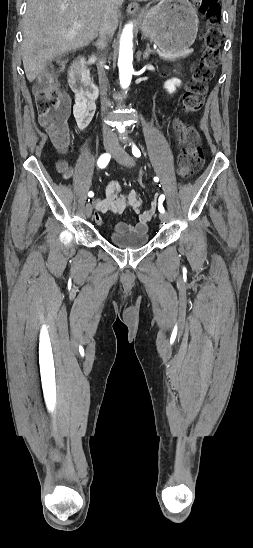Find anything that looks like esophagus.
<instances>
[{
    "instance_id": "obj_1",
    "label": "esophagus",
    "mask_w": 253,
    "mask_h": 548,
    "mask_svg": "<svg viewBox=\"0 0 253 548\" xmlns=\"http://www.w3.org/2000/svg\"><path fill=\"white\" fill-rule=\"evenodd\" d=\"M139 6L136 2H131L127 7V12L130 15H134L138 12Z\"/></svg>"
}]
</instances>
